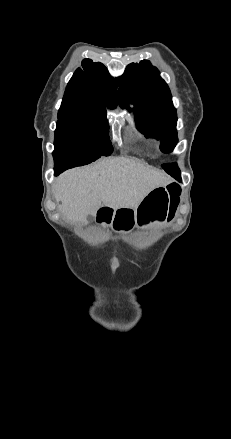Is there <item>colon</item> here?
Returning a JSON list of instances; mask_svg holds the SVG:
<instances>
[{"mask_svg":"<svg viewBox=\"0 0 231 439\" xmlns=\"http://www.w3.org/2000/svg\"><path fill=\"white\" fill-rule=\"evenodd\" d=\"M168 194L172 201L176 202L178 201L181 193V189L176 184H170L167 187Z\"/></svg>","mask_w":231,"mask_h":439,"instance_id":"obj_1","label":"colon"}]
</instances>
